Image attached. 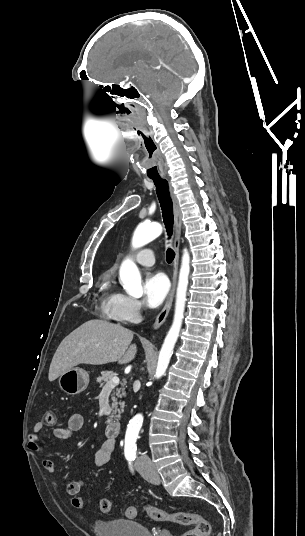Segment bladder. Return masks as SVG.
Here are the masks:
<instances>
[{
  "label": "bladder",
  "instance_id": "obj_1",
  "mask_svg": "<svg viewBox=\"0 0 305 536\" xmlns=\"http://www.w3.org/2000/svg\"><path fill=\"white\" fill-rule=\"evenodd\" d=\"M93 529L96 536H152L139 521L115 517L106 521H95Z\"/></svg>",
  "mask_w": 305,
  "mask_h": 536
}]
</instances>
